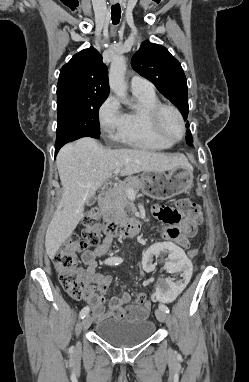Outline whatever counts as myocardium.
<instances>
[{
    "label": "myocardium",
    "mask_w": 249,
    "mask_h": 382,
    "mask_svg": "<svg viewBox=\"0 0 249 382\" xmlns=\"http://www.w3.org/2000/svg\"><path fill=\"white\" fill-rule=\"evenodd\" d=\"M165 111L173 112L177 116V118L179 119L180 124H181V134L179 137H171L164 130L163 125H162V117H163V114ZM149 120H150L151 126L154 129V131L156 132V134L158 136H160L161 138L169 141V142H172V143L178 142L181 139H183V137L186 134L185 119H184L182 113L180 112V110L174 105L166 104V103L157 104L156 106H154L149 111Z\"/></svg>",
    "instance_id": "1"
}]
</instances>
